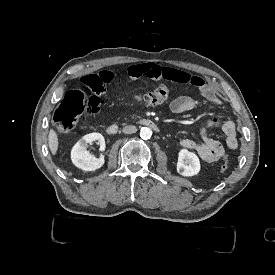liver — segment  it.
<instances>
[{"label":"liver","mask_w":275,"mask_h":275,"mask_svg":"<svg viewBox=\"0 0 275 275\" xmlns=\"http://www.w3.org/2000/svg\"><path fill=\"white\" fill-rule=\"evenodd\" d=\"M48 148L52 156H56L59 149V137L54 128H50L48 132Z\"/></svg>","instance_id":"6515ba94"}]
</instances>
